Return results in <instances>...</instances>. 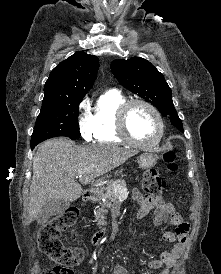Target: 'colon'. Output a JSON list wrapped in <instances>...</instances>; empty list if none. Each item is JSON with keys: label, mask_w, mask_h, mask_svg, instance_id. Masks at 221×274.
<instances>
[{"label": "colon", "mask_w": 221, "mask_h": 274, "mask_svg": "<svg viewBox=\"0 0 221 274\" xmlns=\"http://www.w3.org/2000/svg\"><path fill=\"white\" fill-rule=\"evenodd\" d=\"M164 160L170 171L175 172L178 169L174 151H167ZM142 185L150 198H159L166 188L164 179L152 171L143 175ZM78 217V209L70 207L41 225L38 233L39 249L56 264L53 268L44 270L43 274H74L73 268L82 261L81 249L65 247L60 239L62 231L73 227Z\"/></svg>", "instance_id": "1"}]
</instances>
